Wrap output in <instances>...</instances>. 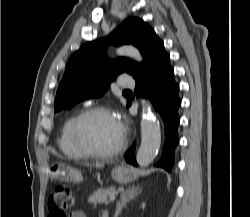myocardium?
I'll use <instances>...</instances> for the list:
<instances>
[{
  "mask_svg": "<svg viewBox=\"0 0 250 217\" xmlns=\"http://www.w3.org/2000/svg\"><path fill=\"white\" fill-rule=\"evenodd\" d=\"M107 114L115 117L114 112L111 108L105 105H93L82 110L73 120L71 126V137L75 146L81 151L86 157L92 158H111L120 154L126 147L127 139L124 128L122 129V138L120 143L112 150L109 151H97L89 147L81 136V125L82 122L93 114ZM116 118V117H115Z\"/></svg>",
  "mask_w": 250,
  "mask_h": 217,
  "instance_id": "obj_1",
  "label": "myocardium"
}]
</instances>
